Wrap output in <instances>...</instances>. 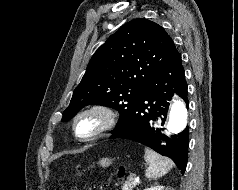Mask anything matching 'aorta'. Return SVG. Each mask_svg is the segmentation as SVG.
<instances>
[{
    "instance_id": "762f6f07",
    "label": "aorta",
    "mask_w": 238,
    "mask_h": 190,
    "mask_svg": "<svg viewBox=\"0 0 238 190\" xmlns=\"http://www.w3.org/2000/svg\"><path fill=\"white\" fill-rule=\"evenodd\" d=\"M188 109L182 99L174 98L169 112L167 130L169 133H178L187 125Z\"/></svg>"
}]
</instances>
